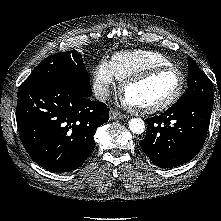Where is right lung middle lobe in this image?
Instances as JSON below:
<instances>
[{"mask_svg": "<svg viewBox=\"0 0 221 221\" xmlns=\"http://www.w3.org/2000/svg\"><path fill=\"white\" fill-rule=\"evenodd\" d=\"M47 80L73 83L85 92L92 93L89 74L81 55L75 50L47 57L22 84Z\"/></svg>", "mask_w": 221, "mask_h": 221, "instance_id": "obj_1", "label": "right lung middle lobe"}]
</instances>
